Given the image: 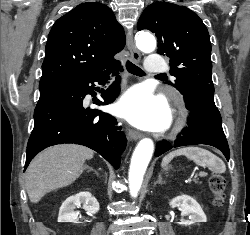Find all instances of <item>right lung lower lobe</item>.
Returning a JSON list of instances; mask_svg holds the SVG:
<instances>
[{"label":"right lung lower lobe","instance_id":"98d812e1","mask_svg":"<svg viewBox=\"0 0 250 235\" xmlns=\"http://www.w3.org/2000/svg\"><path fill=\"white\" fill-rule=\"evenodd\" d=\"M120 63L62 82L39 86L40 98L34 111V128L27 145L25 169L43 149L62 143L87 146L101 154L116 169L126 145L125 134L116 126V119L108 113L84 107L87 94L95 95L94 82L104 85L111 73L121 71ZM120 77L107 89L101 90L103 101L112 103L119 94Z\"/></svg>","mask_w":250,"mask_h":235}]
</instances>
